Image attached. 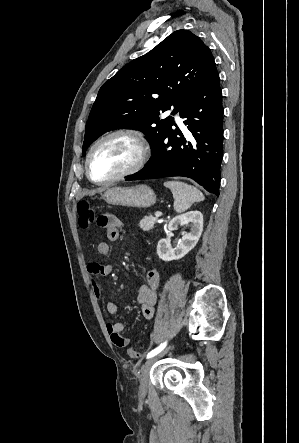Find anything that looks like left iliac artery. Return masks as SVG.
I'll return each instance as SVG.
<instances>
[{"label":"left iliac artery","instance_id":"44dca946","mask_svg":"<svg viewBox=\"0 0 299 443\" xmlns=\"http://www.w3.org/2000/svg\"><path fill=\"white\" fill-rule=\"evenodd\" d=\"M167 345V342L162 343L160 346H158L157 348L153 349L152 351H150L146 358L149 359L151 357H154L155 355H157L158 353H160Z\"/></svg>","mask_w":299,"mask_h":443}]
</instances>
